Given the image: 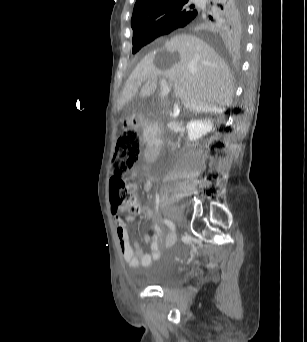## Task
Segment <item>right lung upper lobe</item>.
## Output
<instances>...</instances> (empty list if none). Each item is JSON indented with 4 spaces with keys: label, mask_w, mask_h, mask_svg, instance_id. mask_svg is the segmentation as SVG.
<instances>
[{
    "label": "right lung upper lobe",
    "mask_w": 307,
    "mask_h": 342,
    "mask_svg": "<svg viewBox=\"0 0 307 342\" xmlns=\"http://www.w3.org/2000/svg\"><path fill=\"white\" fill-rule=\"evenodd\" d=\"M239 7L236 0H207L197 5L189 0H137L131 26L133 35L190 26L210 39L222 41Z\"/></svg>",
    "instance_id": "obj_1"
}]
</instances>
